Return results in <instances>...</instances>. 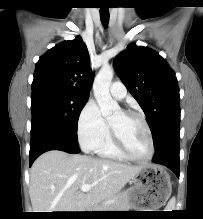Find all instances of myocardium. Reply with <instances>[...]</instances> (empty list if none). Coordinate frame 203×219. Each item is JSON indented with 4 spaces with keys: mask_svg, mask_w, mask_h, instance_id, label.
I'll list each match as a JSON object with an SVG mask.
<instances>
[{
    "mask_svg": "<svg viewBox=\"0 0 203 219\" xmlns=\"http://www.w3.org/2000/svg\"><path fill=\"white\" fill-rule=\"evenodd\" d=\"M122 112L126 115L136 116L142 121V123H143V125L146 129L147 135H148L149 154L144 159H140V158H137V157L133 156L129 152V150L127 149V147H126L124 141L122 140L120 134L118 133V131L110 123L109 124L110 125V130H111L112 138H113V141H114V144H115L116 148L120 151V153L125 158H127L131 161H134V162H137V163H147V162L151 161L154 157V154H155V144H154L153 134H152V131H151V128H150V125H149L147 119L145 118V116L142 113H140L138 111H135V110H132V109L122 110Z\"/></svg>",
    "mask_w": 203,
    "mask_h": 219,
    "instance_id": "1",
    "label": "myocardium"
}]
</instances>
